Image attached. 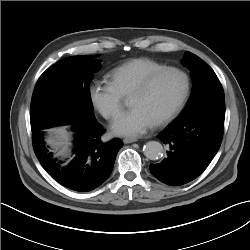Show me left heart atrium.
<instances>
[{
  "label": "left heart atrium",
  "mask_w": 250,
  "mask_h": 250,
  "mask_svg": "<svg viewBox=\"0 0 250 250\" xmlns=\"http://www.w3.org/2000/svg\"><path fill=\"white\" fill-rule=\"evenodd\" d=\"M155 125L153 118L141 107L123 113L112 125V132L120 136L136 137Z\"/></svg>",
  "instance_id": "left-heart-atrium-1"
}]
</instances>
